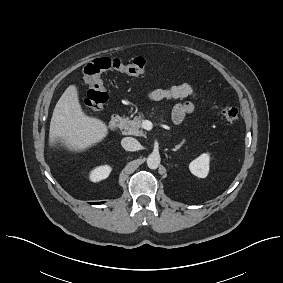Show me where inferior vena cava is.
<instances>
[{
	"label": "inferior vena cava",
	"instance_id": "602c4592",
	"mask_svg": "<svg viewBox=\"0 0 283 283\" xmlns=\"http://www.w3.org/2000/svg\"><path fill=\"white\" fill-rule=\"evenodd\" d=\"M122 147L127 151H137L140 149L141 145L135 138L124 137L121 140Z\"/></svg>",
	"mask_w": 283,
	"mask_h": 283
}]
</instances>
